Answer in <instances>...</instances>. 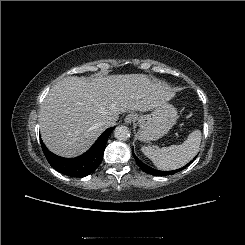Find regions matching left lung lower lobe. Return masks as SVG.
I'll return each mask as SVG.
<instances>
[{
  "label": "left lung lower lobe",
  "mask_w": 245,
  "mask_h": 245,
  "mask_svg": "<svg viewBox=\"0 0 245 245\" xmlns=\"http://www.w3.org/2000/svg\"><path fill=\"white\" fill-rule=\"evenodd\" d=\"M137 164L139 165V167L146 173H149L151 175H156V176H165V175H169V174H174L176 172L181 171L182 169L186 168L187 166H189L191 164V162H189L188 164H186L184 167L177 169V170H173V171H158L155 169H152L150 167H148L147 165H145L144 163H142L141 161L138 160V158L136 156H134Z\"/></svg>",
  "instance_id": "obj_1"
}]
</instances>
